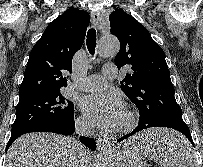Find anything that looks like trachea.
Masks as SVG:
<instances>
[{
  "label": "trachea",
  "mask_w": 203,
  "mask_h": 167,
  "mask_svg": "<svg viewBox=\"0 0 203 167\" xmlns=\"http://www.w3.org/2000/svg\"><path fill=\"white\" fill-rule=\"evenodd\" d=\"M87 48L91 55H94L96 48V30L94 28H90L87 32Z\"/></svg>",
  "instance_id": "obj_1"
}]
</instances>
